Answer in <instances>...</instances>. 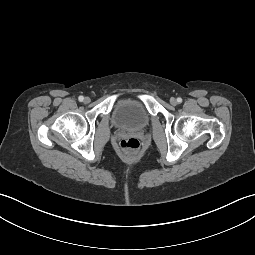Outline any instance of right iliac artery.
Wrapping results in <instances>:
<instances>
[{"label":"right iliac artery","instance_id":"1","mask_svg":"<svg viewBox=\"0 0 255 255\" xmlns=\"http://www.w3.org/2000/svg\"><path fill=\"white\" fill-rule=\"evenodd\" d=\"M79 101L82 102L84 100V97L83 96H79Z\"/></svg>","mask_w":255,"mask_h":255}]
</instances>
